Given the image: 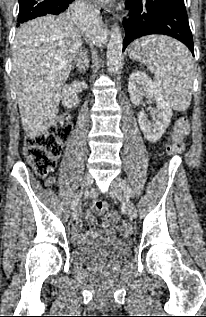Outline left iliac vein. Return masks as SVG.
<instances>
[{"label":"left iliac vein","mask_w":206,"mask_h":317,"mask_svg":"<svg viewBox=\"0 0 206 317\" xmlns=\"http://www.w3.org/2000/svg\"><path fill=\"white\" fill-rule=\"evenodd\" d=\"M110 194L112 197L121 200L122 199V188L120 183L113 181L110 189ZM126 210L130 219H135L137 217V209L133 202L126 201Z\"/></svg>","instance_id":"4c4485c4"}]
</instances>
